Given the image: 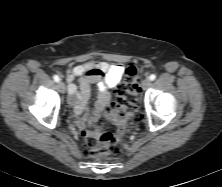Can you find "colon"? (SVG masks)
Returning <instances> with one entry per match:
<instances>
[{"mask_svg": "<svg viewBox=\"0 0 222 187\" xmlns=\"http://www.w3.org/2000/svg\"><path fill=\"white\" fill-rule=\"evenodd\" d=\"M137 77V67L134 64L128 65L123 83L117 89L116 99L107 110L109 119L119 126V132H122L125 122L140 117L138 114L140 96ZM83 136V155L85 157L98 158L103 155L116 154L119 151L117 137L111 132L84 131Z\"/></svg>", "mask_w": 222, "mask_h": 187, "instance_id": "colon-1", "label": "colon"}]
</instances>
